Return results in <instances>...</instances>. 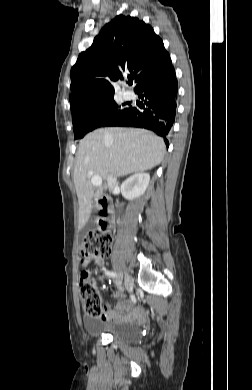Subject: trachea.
I'll return each instance as SVG.
<instances>
[{"label": "trachea", "mask_w": 252, "mask_h": 390, "mask_svg": "<svg viewBox=\"0 0 252 390\" xmlns=\"http://www.w3.org/2000/svg\"><path fill=\"white\" fill-rule=\"evenodd\" d=\"M128 83L131 85V84H133V81H132V80H129V82H128Z\"/></svg>", "instance_id": "3493384b"}]
</instances>
